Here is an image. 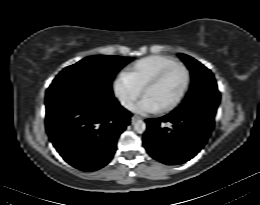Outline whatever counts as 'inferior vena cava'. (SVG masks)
I'll return each instance as SVG.
<instances>
[{"instance_id":"obj_1","label":"inferior vena cava","mask_w":260,"mask_h":205,"mask_svg":"<svg viewBox=\"0 0 260 205\" xmlns=\"http://www.w3.org/2000/svg\"><path fill=\"white\" fill-rule=\"evenodd\" d=\"M122 103V105L124 106V107H126V108H128V109H130L131 108V102H129V101H122L121 102Z\"/></svg>"}]
</instances>
